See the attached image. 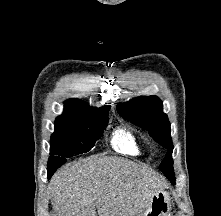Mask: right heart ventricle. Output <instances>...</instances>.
<instances>
[{"label": "right heart ventricle", "mask_w": 221, "mask_h": 216, "mask_svg": "<svg viewBox=\"0 0 221 216\" xmlns=\"http://www.w3.org/2000/svg\"><path fill=\"white\" fill-rule=\"evenodd\" d=\"M112 147L121 153L136 155L141 153V144L135 132L127 127L116 129L110 139Z\"/></svg>", "instance_id": "e07e8e85"}]
</instances>
